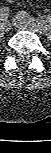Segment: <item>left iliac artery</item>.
Masks as SVG:
<instances>
[{
	"instance_id": "left-iliac-artery-1",
	"label": "left iliac artery",
	"mask_w": 51,
	"mask_h": 153,
	"mask_svg": "<svg viewBox=\"0 0 51 153\" xmlns=\"http://www.w3.org/2000/svg\"><path fill=\"white\" fill-rule=\"evenodd\" d=\"M22 14V16L24 17L25 20L31 22V23H35V24H39L43 27H45L46 29H48L51 26V16H43V17H39L37 19L35 18H31L30 15L24 11L20 12Z\"/></svg>"
}]
</instances>
